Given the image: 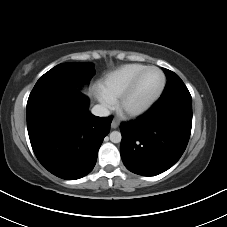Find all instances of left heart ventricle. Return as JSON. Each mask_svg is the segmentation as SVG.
I'll return each mask as SVG.
<instances>
[{
    "label": "left heart ventricle",
    "mask_w": 227,
    "mask_h": 227,
    "mask_svg": "<svg viewBox=\"0 0 227 227\" xmlns=\"http://www.w3.org/2000/svg\"><path fill=\"white\" fill-rule=\"evenodd\" d=\"M162 76L157 70L147 71L141 78L138 87L130 99V105H139L151 98L160 88Z\"/></svg>",
    "instance_id": "b2bd125f"
}]
</instances>
